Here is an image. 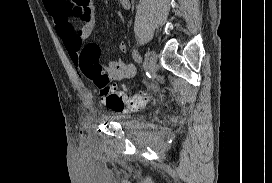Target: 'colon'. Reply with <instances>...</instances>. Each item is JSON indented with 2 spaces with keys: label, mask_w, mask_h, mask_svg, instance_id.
Wrapping results in <instances>:
<instances>
[{
  "label": "colon",
  "mask_w": 272,
  "mask_h": 183,
  "mask_svg": "<svg viewBox=\"0 0 272 183\" xmlns=\"http://www.w3.org/2000/svg\"><path fill=\"white\" fill-rule=\"evenodd\" d=\"M100 48L95 43H87L81 50L77 66L96 86L104 97L107 107L117 112H132L143 108L148 102L146 93L127 94L116 91L109 76L103 72L99 64Z\"/></svg>",
  "instance_id": "5ec220e1"
}]
</instances>
